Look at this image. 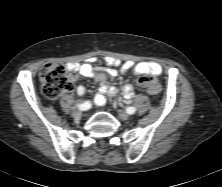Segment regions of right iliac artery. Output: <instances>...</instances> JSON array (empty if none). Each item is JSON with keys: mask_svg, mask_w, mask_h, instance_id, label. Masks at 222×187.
<instances>
[{"mask_svg": "<svg viewBox=\"0 0 222 187\" xmlns=\"http://www.w3.org/2000/svg\"><path fill=\"white\" fill-rule=\"evenodd\" d=\"M76 106L80 109V110H88L91 108V103L89 101H85L83 103H77Z\"/></svg>", "mask_w": 222, "mask_h": 187, "instance_id": "1", "label": "right iliac artery"}]
</instances>
